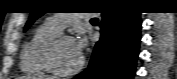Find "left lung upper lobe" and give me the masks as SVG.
<instances>
[{
	"label": "left lung upper lobe",
	"instance_id": "1",
	"mask_svg": "<svg viewBox=\"0 0 177 79\" xmlns=\"http://www.w3.org/2000/svg\"><path fill=\"white\" fill-rule=\"evenodd\" d=\"M43 14H44V12L42 9L31 12L29 20L26 23L25 30H27L29 28V26H31V24Z\"/></svg>",
	"mask_w": 177,
	"mask_h": 79
}]
</instances>
